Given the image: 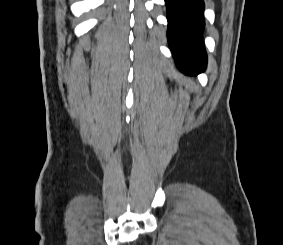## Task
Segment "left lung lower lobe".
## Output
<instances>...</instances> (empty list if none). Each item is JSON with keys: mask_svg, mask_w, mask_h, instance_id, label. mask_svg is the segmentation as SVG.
<instances>
[{"mask_svg": "<svg viewBox=\"0 0 283 245\" xmlns=\"http://www.w3.org/2000/svg\"><path fill=\"white\" fill-rule=\"evenodd\" d=\"M165 3L168 42L177 66L188 75L204 71L207 56L202 37L203 0H165Z\"/></svg>", "mask_w": 283, "mask_h": 245, "instance_id": "obj_1", "label": "left lung lower lobe"}]
</instances>
